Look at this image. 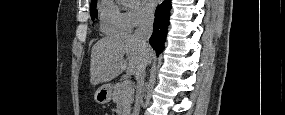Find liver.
<instances>
[{"mask_svg": "<svg viewBox=\"0 0 285 115\" xmlns=\"http://www.w3.org/2000/svg\"><path fill=\"white\" fill-rule=\"evenodd\" d=\"M153 55L150 46L143 52L131 34L119 33L103 38L91 51L90 83L96 86L109 82L126 69L128 74L134 75L141 63L145 61L148 64Z\"/></svg>", "mask_w": 285, "mask_h": 115, "instance_id": "liver-1", "label": "liver"}]
</instances>
